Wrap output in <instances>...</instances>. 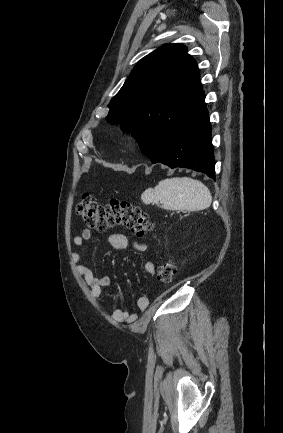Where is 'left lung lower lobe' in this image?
Returning a JSON list of instances; mask_svg holds the SVG:
<instances>
[{
  "instance_id": "0a47b994",
  "label": "left lung lower lobe",
  "mask_w": 283,
  "mask_h": 433,
  "mask_svg": "<svg viewBox=\"0 0 283 433\" xmlns=\"http://www.w3.org/2000/svg\"><path fill=\"white\" fill-rule=\"evenodd\" d=\"M140 148L152 163L190 168L215 179L211 124L205 102L194 116L176 124L154 126Z\"/></svg>"
}]
</instances>
